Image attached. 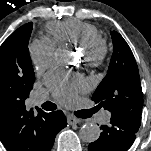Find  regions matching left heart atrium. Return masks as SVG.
Here are the masks:
<instances>
[{"label": "left heart atrium", "instance_id": "left-heart-atrium-1", "mask_svg": "<svg viewBox=\"0 0 151 151\" xmlns=\"http://www.w3.org/2000/svg\"><path fill=\"white\" fill-rule=\"evenodd\" d=\"M46 85L60 101L66 103L86 88V81L79 75L55 71L47 75Z\"/></svg>", "mask_w": 151, "mask_h": 151}]
</instances>
